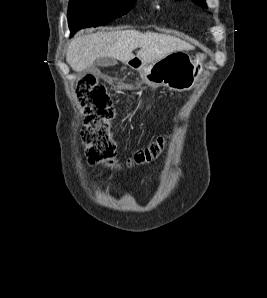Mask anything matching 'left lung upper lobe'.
Listing matches in <instances>:
<instances>
[{"label": "left lung upper lobe", "instance_id": "obj_1", "mask_svg": "<svg viewBox=\"0 0 267 298\" xmlns=\"http://www.w3.org/2000/svg\"><path fill=\"white\" fill-rule=\"evenodd\" d=\"M193 1L202 7H206L205 0H193Z\"/></svg>", "mask_w": 267, "mask_h": 298}]
</instances>
